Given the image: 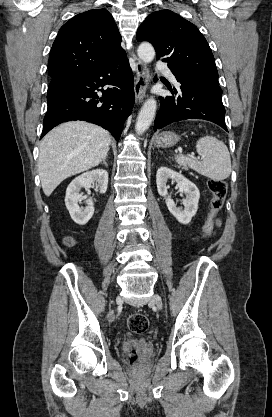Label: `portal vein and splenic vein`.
Wrapping results in <instances>:
<instances>
[{"label":"portal vein and splenic vein","mask_w":272,"mask_h":417,"mask_svg":"<svg viewBox=\"0 0 272 417\" xmlns=\"http://www.w3.org/2000/svg\"><path fill=\"white\" fill-rule=\"evenodd\" d=\"M191 155H192V157H194V153H192ZM198 159H200V157H198ZM201 159H202V158H201Z\"/></svg>","instance_id":"obj_1"}]
</instances>
